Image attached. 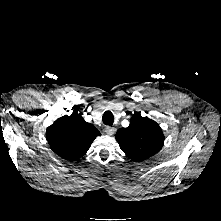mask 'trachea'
<instances>
[{
    "label": "trachea",
    "mask_w": 221,
    "mask_h": 221,
    "mask_svg": "<svg viewBox=\"0 0 221 221\" xmlns=\"http://www.w3.org/2000/svg\"><path fill=\"white\" fill-rule=\"evenodd\" d=\"M102 120L105 125H112L114 122V116H113L112 112L106 111L103 114Z\"/></svg>",
    "instance_id": "trachea-1"
}]
</instances>
